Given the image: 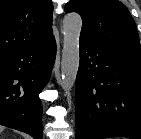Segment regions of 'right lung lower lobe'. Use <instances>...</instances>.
<instances>
[{
	"mask_svg": "<svg viewBox=\"0 0 141 139\" xmlns=\"http://www.w3.org/2000/svg\"><path fill=\"white\" fill-rule=\"evenodd\" d=\"M56 56L53 34L47 39L0 54V125L42 139V103Z\"/></svg>",
	"mask_w": 141,
	"mask_h": 139,
	"instance_id": "obj_1",
	"label": "right lung lower lobe"
}]
</instances>
